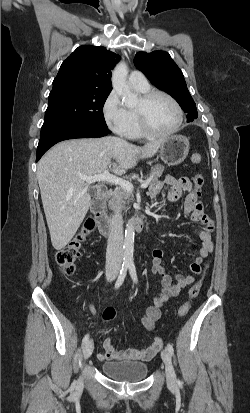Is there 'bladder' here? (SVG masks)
<instances>
[{
	"label": "bladder",
	"instance_id": "31cf9c89",
	"mask_svg": "<svg viewBox=\"0 0 250 413\" xmlns=\"http://www.w3.org/2000/svg\"><path fill=\"white\" fill-rule=\"evenodd\" d=\"M102 372L109 378L120 382H137L148 374V365L136 361L104 362Z\"/></svg>",
	"mask_w": 250,
	"mask_h": 413
}]
</instances>
